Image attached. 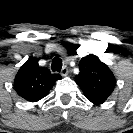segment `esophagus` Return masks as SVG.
I'll return each instance as SVG.
<instances>
[{"mask_svg":"<svg viewBox=\"0 0 133 133\" xmlns=\"http://www.w3.org/2000/svg\"><path fill=\"white\" fill-rule=\"evenodd\" d=\"M68 72H69V71H68V68L65 66V67H63L62 70H61V75L65 77V76L68 75Z\"/></svg>","mask_w":133,"mask_h":133,"instance_id":"esophagus-1","label":"esophagus"}]
</instances>
